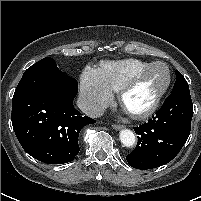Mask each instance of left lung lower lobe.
I'll return each instance as SVG.
<instances>
[{
  "instance_id": "obj_1",
  "label": "left lung lower lobe",
  "mask_w": 201,
  "mask_h": 201,
  "mask_svg": "<svg viewBox=\"0 0 201 201\" xmlns=\"http://www.w3.org/2000/svg\"><path fill=\"white\" fill-rule=\"evenodd\" d=\"M193 116L189 89L172 92L147 123L135 127L138 143L126 159L136 169H153L170 162L187 141Z\"/></svg>"
}]
</instances>
